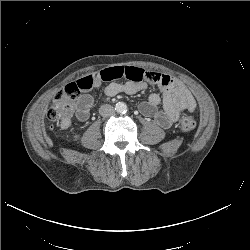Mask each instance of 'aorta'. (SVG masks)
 Instances as JSON below:
<instances>
[{
    "label": "aorta",
    "mask_w": 250,
    "mask_h": 250,
    "mask_svg": "<svg viewBox=\"0 0 250 250\" xmlns=\"http://www.w3.org/2000/svg\"><path fill=\"white\" fill-rule=\"evenodd\" d=\"M115 110L117 113H126L127 105L124 102H118L115 105Z\"/></svg>",
    "instance_id": "aorta-1"
}]
</instances>
